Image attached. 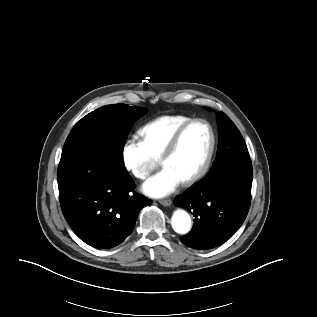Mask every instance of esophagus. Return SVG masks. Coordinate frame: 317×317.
Segmentation results:
<instances>
[{
    "label": "esophagus",
    "instance_id": "1",
    "mask_svg": "<svg viewBox=\"0 0 317 317\" xmlns=\"http://www.w3.org/2000/svg\"><path fill=\"white\" fill-rule=\"evenodd\" d=\"M160 204H162L163 206H170L172 204L171 199H163L160 200Z\"/></svg>",
    "mask_w": 317,
    "mask_h": 317
}]
</instances>
